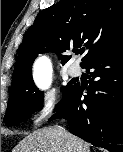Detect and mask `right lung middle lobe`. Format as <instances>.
<instances>
[{"label": "right lung middle lobe", "instance_id": "1", "mask_svg": "<svg viewBox=\"0 0 123 152\" xmlns=\"http://www.w3.org/2000/svg\"><path fill=\"white\" fill-rule=\"evenodd\" d=\"M76 85L68 84L63 87V99L56 105L55 111L60 110ZM43 93L38 91L33 82L25 84L15 93L9 95V102L4 117L6 125H18L31 117V114L42 108Z\"/></svg>", "mask_w": 123, "mask_h": 152}]
</instances>
